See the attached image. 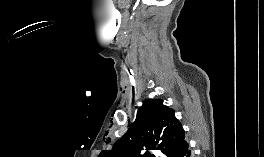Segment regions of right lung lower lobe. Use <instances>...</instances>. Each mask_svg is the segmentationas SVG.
<instances>
[{
  "instance_id": "obj_1",
  "label": "right lung lower lobe",
  "mask_w": 264,
  "mask_h": 157,
  "mask_svg": "<svg viewBox=\"0 0 264 157\" xmlns=\"http://www.w3.org/2000/svg\"><path fill=\"white\" fill-rule=\"evenodd\" d=\"M166 157H193L188 143L183 141L178 147L166 155Z\"/></svg>"
}]
</instances>
